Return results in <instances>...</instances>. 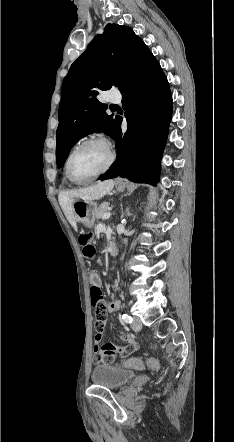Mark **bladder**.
I'll return each mask as SVG.
<instances>
[{"label":"bladder","instance_id":"bladder-1","mask_svg":"<svg viewBox=\"0 0 234 442\" xmlns=\"http://www.w3.org/2000/svg\"><path fill=\"white\" fill-rule=\"evenodd\" d=\"M134 377L135 372L132 369L112 365L96 366L91 374V380L95 385L112 389L122 387Z\"/></svg>","mask_w":234,"mask_h":442}]
</instances>
